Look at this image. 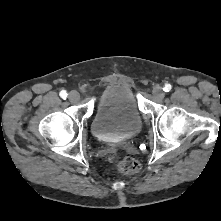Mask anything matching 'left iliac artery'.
Instances as JSON below:
<instances>
[{"instance_id":"44dca946","label":"left iliac artery","mask_w":221,"mask_h":221,"mask_svg":"<svg viewBox=\"0 0 221 221\" xmlns=\"http://www.w3.org/2000/svg\"><path fill=\"white\" fill-rule=\"evenodd\" d=\"M171 88H172V86H171L170 84H166L165 87L163 88V90H164L165 92H168V91L171 90Z\"/></svg>"}]
</instances>
